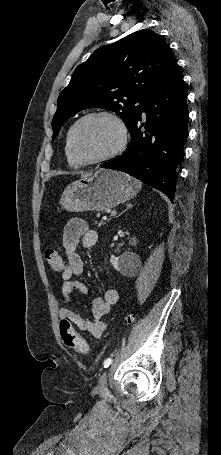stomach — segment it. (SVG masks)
<instances>
[{
  "label": "stomach",
  "instance_id": "0dacf381",
  "mask_svg": "<svg viewBox=\"0 0 221 455\" xmlns=\"http://www.w3.org/2000/svg\"><path fill=\"white\" fill-rule=\"evenodd\" d=\"M140 189L141 183L123 172L99 169L68 185L60 204L72 212L105 211L130 200Z\"/></svg>",
  "mask_w": 221,
  "mask_h": 455
}]
</instances>
